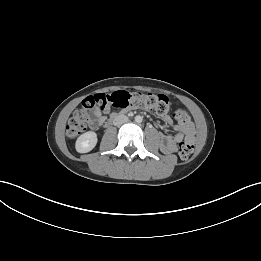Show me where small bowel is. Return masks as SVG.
Returning a JSON list of instances; mask_svg holds the SVG:
<instances>
[{"label": "small bowel", "instance_id": "1", "mask_svg": "<svg viewBox=\"0 0 261 261\" xmlns=\"http://www.w3.org/2000/svg\"><path fill=\"white\" fill-rule=\"evenodd\" d=\"M108 111L109 110L94 113L89 121L90 127L92 129H97L104 124L106 122L104 113ZM161 117L164 122L171 123V118L168 114H162ZM177 130V134L173 136L164 133L159 134V146L163 153L172 154L176 152L178 144L184 139L189 141L194 140V127L191 124L177 126Z\"/></svg>", "mask_w": 261, "mask_h": 261}]
</instances>
